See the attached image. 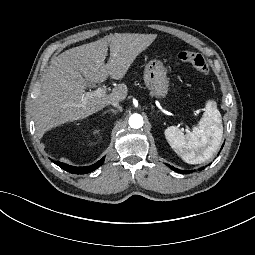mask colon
<instances>
[{
    "label": "colon",
    "mask_w": 255,
    "mask_h": 255,
    "mask_svg": "<svg viewBox=\"0 0 255 255\" xmlns=\"http://www.w3.org/2000/svg\"><path fill=\"white\" fill-rule=\"evenodd\" d=\"M176 57L180 61L191 64L199 74L203 76L208 75V65L200 54L189 49H179L176 52Z\"/></svg>",
    "instance_id": "colon-1"
}]
</instances>
